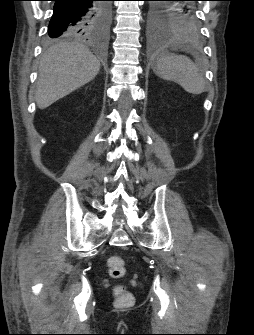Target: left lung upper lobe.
<instances>
[{
    "mask_svg": "<svg viewBox=\"0 0 254 335\" xmlns=\"http://www.w3.org/2000/svg\"><path fill=\"white\" fill-rule=\"evenodd\" d=\"M148 28L151 34L196 33L199 27L197 0H147Z\"/></svg>",
    "mask_w": 254,
    "mask_h": 335,
    "instance_id": "5c2ea615",
    "label": "left lung upper lobe"
}]
</instances>
